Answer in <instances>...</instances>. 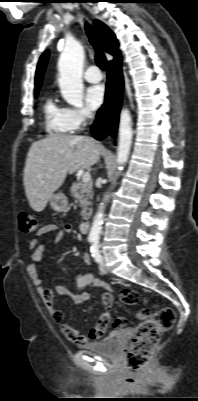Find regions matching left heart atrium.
Instances as JSON below:
<instances>
[{"instance_id": "1", "label": "left heart atrium", "mask_w": 198, "mask_h": 401, "mask_svg": "<svg viewBox=\"0 0 198 401\" xmlns=\"http://www.w3.org/2000/svg\"><path fill=\"white\" fill-rule=\"evenodd\" d=\"M105 97V87L102 84L89 87L85 95L88 106L93 110L98 109L104 103Z\"/></svg>"}]
</instances>
